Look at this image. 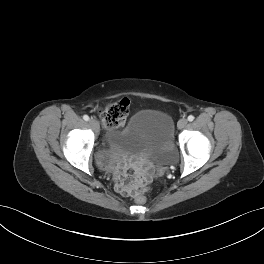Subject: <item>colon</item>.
I'll use <instances>...</instances> for the list:
<instances>
[{"instance_id":"5ec220e1","label":"colon","mask_w":264,"mask_h":264,"mask_svg":"<svg viewBox=\"0 0 264 264\" xmlns=\"http://www.w3.org/2000/svg\"><path fill=\"white\" fill-rule=\"evenodd\" d=\"M130 103L127 99L118 100L100 111L99 117L107 128L120 127L129 113ZM119 192L125 196H131L139 204L146 202L148 191L145 179L136 172L122 174L117 179Z\"/></svg>"}]
</instances>
